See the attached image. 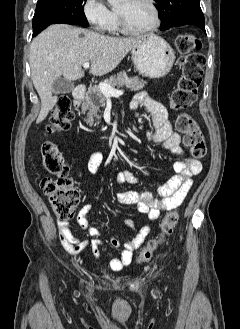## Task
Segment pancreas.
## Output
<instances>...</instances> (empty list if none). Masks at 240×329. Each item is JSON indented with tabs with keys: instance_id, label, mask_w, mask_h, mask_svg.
<instances>
[{
	"instance_id": "pancreas-1",
	"label": "pancreas",
	"mask_w": 240,
	"mask_h": 329,
	"mask_svg": "<svg viewBox=\"0 0 240 329\" xmlns=\"http://www.w3.org/2000/svg\"><path fill=\"white\" fill-rule=\"evenodd\" d=\"M112 87H127L131 91H139L147 84L146 81L140 79L139 77L129 78L126 72H120L117 75H112L108 80L105 81ZM106 99L104 94L101 92L99 86L91 87L86 95V102L82 105V112L89 111L87 113V119L85 120L87 124L92 126L95 120L96 125L99 124L101 119L100 107H105Z\"/></svg>"
}]
</instances>
